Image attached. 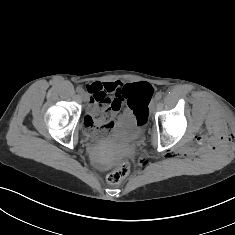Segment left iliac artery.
<instances>
[{"mask_svg":"<svg viewBox=\"0 0 235 235\" xmlns=\"http://www.w3.org/2000/svg\"><path fill=\"white\" fill-rule=\"evenodd\" d=\"M162 98V93L161 92H157L155 95V99L156 100H160Z\"/></svg>","mask_w":235,"mask_h":235,"instance_id":"44dca946","label":"left iliac artery"}]
</instances>
